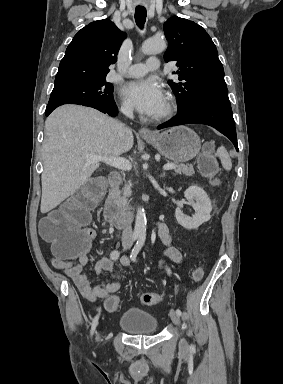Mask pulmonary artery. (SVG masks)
<instances>
[{
  "mask_svg": "<svg viewBox=\"0 0 283 384\" xmlns=\"http://www.w3.org/2000/svg\"><path fill=\"white\" fill-rule=\"evenodd\" d=\"M157 70H158L157 61H146L145 66L141 63H138L127 68L124 71V75L126 77H141L145 75L148 71H157Z\"/></svg>",
  "mask_w": 283,
  "mask_h": 384,
  "instance_id": "pulmonary-artery-1",
  "label": "pulmonary artery"
}]
</instances>
